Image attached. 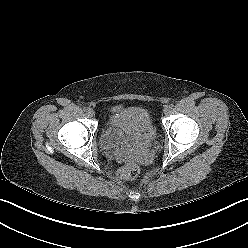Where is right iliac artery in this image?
<instances>
[{
  "label": "right iliac artery",
  "instance_id": "1",
  "mask_svg": "<svg viewBox=\"0 0 248 248\" xmlns=\"http://www.w3.org/2000/svg\"><path fill=\"white\" fill-rule=\"evenodd\" d=\"M83 110L86 112L88 110V108L87 107H84Z\"/></svg>",
  "mask_w": 248,
  "mask_h": 248
}]
</instances>
